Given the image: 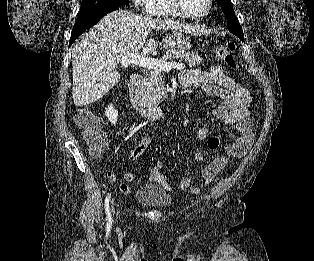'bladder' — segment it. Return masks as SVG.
Listing matches in <instances>:
<instances>
[{
	"label": "bladder",
	"instance_id": "bladder-1",
	"mask_svg": "<svg viewBox=\"0 0 314 261\" xmlns=\"http://www.w3.org/2000/svg\"><path fill=\"white\" fill-rule=\"evenodd\" d=\"M134 198L152 208H164L171 203L172 196L169 192L153 184L141 186L135 193Z\"/></svg>",
	"mask_w": 314,
	"mask_h": 261
}]
</instances>
